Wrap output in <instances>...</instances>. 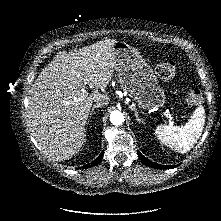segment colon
<instances>
[{
  "label": "colon",
  "instance_id": "colon-1",
  "mask_svg": "<svg viewBox=\"0 0 221 221\" xmlns=\"http://www.w3.org/2000/svg\"><path fill=\"white\" fill-rule=\"evenodd\" d=\"M156 73L163 80H173L177 76V65L173 61H164L156 67ZM202 93L198 88H193L187 94L186 100L191 105H199L202 102Z\"/></svg>",
  "mask_w": 221,
  "mask_h": 221
}]
</instances>
